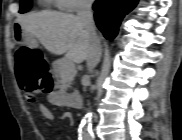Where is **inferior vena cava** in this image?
Instances as JSON below:
<instances>
[{"label":"inferior vena cava","instance_id":"inferior-vena-cava-1","mask_svg":"<svg viewBox=\"0 0 182 140\" xmlns=\"http://www.w3.org/2000/svg\"><path fill=\"white\" fill-rule=\"evenodd\" d=\"M91 0H82L78 6L77 18L84 26L90 38V51L87 56L86 62L89 70L96 67L101 58V44L100 39L96 33V28L93 20Z\"/></svg>","mask_w":182,"mask_h":140}]
</instances>
